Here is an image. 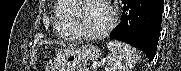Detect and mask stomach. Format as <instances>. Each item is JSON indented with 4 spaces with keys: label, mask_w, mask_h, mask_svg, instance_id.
<instances>
[{
    "label": "stomach",
    "mask_w": 181,
    "mask_h": 71,
    "mask_svg": "<svg viewBox=\"0 0 181 71\" xmlns=\"http://www.w3.org/2000/svg\"><path fill=\"white\" fill-rule=\"evenodd\" d=\"M100 56V49L92 45L67 48L57 54L51 61V66L53 71H75L90 62L98 60Z\"/></svg>",
    "instance_id": "0dacf381"
}]
</instances>
